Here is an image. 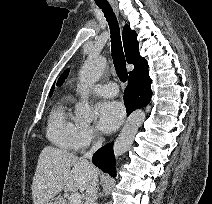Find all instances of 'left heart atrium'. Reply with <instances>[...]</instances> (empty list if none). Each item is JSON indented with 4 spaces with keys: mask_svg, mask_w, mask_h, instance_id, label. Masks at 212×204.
<instances>
[{
    "mask_svg": "<svg viewBox=\"0 0 212 204\" xmlns=\"http://www.w3.org/2000/svg\"><path fill=\"white\" fill-rule=\"evenodd\" d=\"M123 105L114 100H105L97 105V126L104 133L115 131L124 119Z\"/></svg>",
    "mask_w": 212,
    "mask_h": 204,
    "instance_id": "left-heart-atrium-1",
    "label": "left heart atrium"
}]
</instances>
